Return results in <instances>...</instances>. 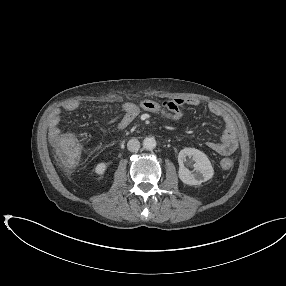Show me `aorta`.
Listing matches in <instances>:
<instances>
[{
  "label": "aorta",
  "instance_id": "obj_1",
  "mask_svg": "<svg viewBox=\"0 0 286 286\" xmlns=\"http://www.w3.org/2000/svg\"><path fill=\"white\" fill-rule=\"evenodd\" d=\"M143 147L146 150H153L156 147V140L154 137H146L143 140Z\"/></svg>",
  "mask_w": 286,
  "mask_h": 286
}]
</instances>
